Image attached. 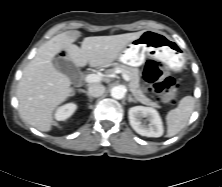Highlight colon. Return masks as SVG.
<instances>
[{
    "label": "colon",
    "instance_id": "obj_1",
    "mask_svg": "<svg viewBox=\"0 0 222 187\" xmlns=\"http://www.w3.org/2000/svg\"><path fill=\"white\" fill-rule=\"evenodd\" d=\"M143 78L153 85L152 94L159 96L164 102H172L178 91V85L171 77L164 76L162 67L154 60H149L143 70Z\"/></svg>",
    "mask_w": 222,
    "mask_h": 187
}]
</instances>
